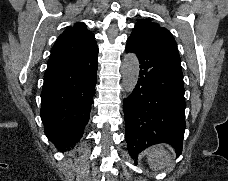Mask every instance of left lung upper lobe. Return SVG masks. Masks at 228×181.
Returning <instances> with one entry per match:
<instances>
[{
	"mask_svg": "<svg viewBox=\"0 0 228 181\" xmlns=\"http://www.w3.org/2000/svg\"><path fill=\"white\" fill-rule=\"evenodd\" d=\"M129 39L180 58L172 34L166 28L149 20H139Z\"/></svg>",
	"mask_w": 228,
	"mask_h": 181,
	"instance_id": "obj_1",
	"label": "left lung upper lobe"
}]
</instances>
